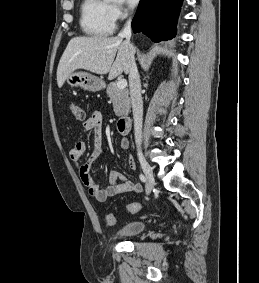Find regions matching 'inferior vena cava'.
Segmentation results:
<instances>
[{"label": "inferior vena cava", "mask_w": 259, "mask_h": 283, "mask_svg": "<svg viewBox=\"0 0 259 283\" xmlns=\"http://www.w3.org/2000/svg\"><path fill=\"white\" fill-rule=\"evenodd\" d=\"M121 39L125 38V43L130 47L131 38V21H127L125 27L118 35ZM129 87H130V97L133 110L134 118V135L135 142L138 147L141 146L142 142V124H143V102L141 97V83L140 75L135 63L134 52L131 48V59L129 67Z\"/></svg>", "instance_id": "602c4592"}]
</instances>
